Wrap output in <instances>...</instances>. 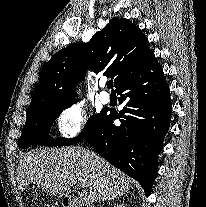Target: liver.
I'll return each mask as SVG.
<instances>
[{
  "label": "liver",
  "instance_id": "obj_1",
  "mask_svg": "<svg viewBox=\"0 0 206 207\" xmlns=\"http://www.w3.org/2000/svg\"><path fill=\"white\" fill-rule=\"evenodd\" d=\"M17 181L20 190L33 183L56 197H68L71 187L77 184L87 204L114 199L130 189L123 172L78 146L33 150L22 156Z\"/></svg>",
  "mask_w": 206,
  "mask_h": 207
}]
</instances>
